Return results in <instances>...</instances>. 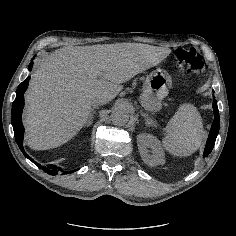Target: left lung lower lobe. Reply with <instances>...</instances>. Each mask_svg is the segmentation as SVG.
<instances>
[{"instance_id": "0a47b994", "label": "left lung lower lobe", "mask_w": 236, "mask_h": 236, "mask_svg": "<svg viewBox=\"0 0 236 236\" xmlns=\"http://www.w3.org/2000/svg\"><path fill=\"white\" fill-rule=\"evenodd\" d=\"M213 110H214V121L212 123L209 137H208L206 147L204 150V154H203L204 157L208 156V154L212 151L215 144L216 137L219 132V112H218V107H217L215 99H213Z\"/></svg>"}]
</instances>
